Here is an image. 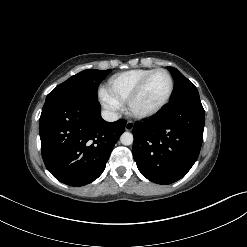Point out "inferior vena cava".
I'll return each instance as SVG.
<instances>
[{
	"label": "inferior vena cava",
	"instance_id": "602c4592",
	"mask_svg": "<svg viewBox=\"0 0 247 247\" xmlns=\"http://www.w3.org/2000/svg\"><path fill=\"white\" fill-rule=\"evenodd\" d=\"M102 118L107 122H114L118 120V115L115 112L104 110L101 112Z\"/></svg>",
	"mask_w": 247,
	"mask_h": 247
}]
</instances>
